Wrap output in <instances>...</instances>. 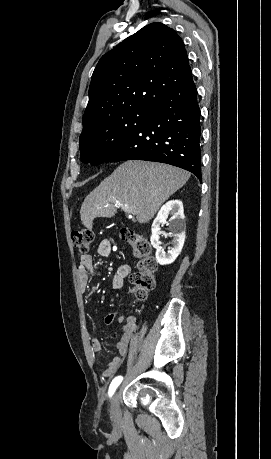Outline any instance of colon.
<instances>
[{
	"instance_id": "1",
	"label": "colon",
	"mask_w": 271,
	"mask_h": 459,
	"mask_svg": "<svg viewBox=\"0 0 271 459\" xmlns=\"http://www.w3.org/2000/svg\"><path fill=\"white\" fill-rule=\"evenodd\" d=\"M121 238L132 246L135 256L139 258V270L130 275V283L134 295L138 299H145L154 288V273L158 266L151 252V244L147 239L128 228L121 230ZM71 239L75 248L80 252H86L93 242L94 234L91 230L82 228L73 231Z\"/></svg>"
}]
</instances>
